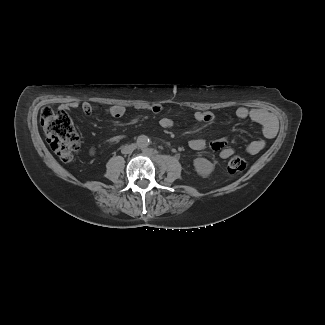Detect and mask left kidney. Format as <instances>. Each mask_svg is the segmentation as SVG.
Instances as JSON below:
<instances>
[{
	"instance_id": "5707ae66",
	"label": "left kidney",
	"mask_w": 325,
	"mask_h": 325,
	"mask_svg": "<svg viewBox=\"0 0 325 325\" xmlns=\"http://www.w3.org/2000/svg\"><path fill=\"white\" fill-rule=\"evenodd\" d=\"M195 171L202 177H208L214 170V165L206 158H196L193 161Z\"/></svg>"
}]
</instances>
